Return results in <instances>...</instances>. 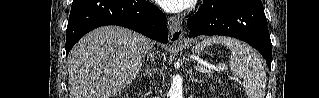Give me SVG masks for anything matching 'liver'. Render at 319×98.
Masks as SVG:
<instances>
[{"mask_svg":"<svg viewBox=\"0 0 319 98\" xmlns=\"http://www.w3.org/2000/svg\"><path fill=\"white\" fill-rule=\"evenodd\" d=\"M153 42L119 26L85 35L68 55L70 98H112L139 73Z\"/></svg>","mask_w":319,"mask_h":98,"instance_id":"liver-1","label":"liver"}]
</instances>
